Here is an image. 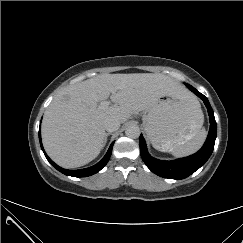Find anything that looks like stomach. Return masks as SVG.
<instances>
[{
  "instance_id": "1",
  "label": "stomach",
  "mask_w": 243,
  "mask_h": 243,
  "mask_svg": "<svg viewBox=\"0 0 243 243\" xmlns=\"http://www.w3.org/2000/svg\"><path fill=\"white\" fill-rule=\"evenodd\" d=\"M198 100L189 96L158 98L143 116V126L152 145L170 151L192 139L201 129L203 116Z\"/></svg>"
}]
</instances>
